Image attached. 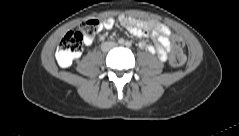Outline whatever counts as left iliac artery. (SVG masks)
<instances>
[{
  "mask_svg": "<svg viewBox=\"0 0 239 136\" xmlns=\"http://www.w3.org/2000/svg\"><path fill=\"white\" fill-rule=\"evenodd\" d=\"M125 45H126L127 47H130V46H131V42H130V41H127V42L125 43Z\"/></svg>",
  "mask_w": 239,
  "mask_h": 136,
  "instance_id": "left-iliac-artery-1",
  "label": "left iliac artery"
}]
</instances>
